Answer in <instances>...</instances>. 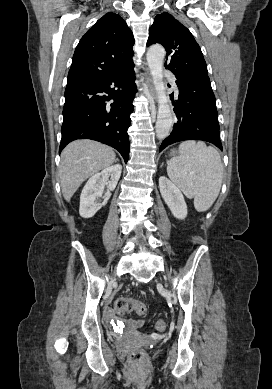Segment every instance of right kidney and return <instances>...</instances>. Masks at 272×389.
I'll return each mask as SVG.
<instances>
[{
	"instance_id": "obj_1",
	"label": "right kidney",
	"mask_w": 272,
	"mask_h": 389,
	"mask_svg": "<svg viewBox=\"0 0 272 389\" xmlns=\"http://www.w3.org/2000/svg\"><path fill=\"white\" fill-rule=\"evenodd\" d=\"M122 166L112 165L100 173L93 175L85 184L80 196L79 213L83 218H91L102 207L98 198L102 196L104 186L107 185L109 191H113L121 176ZM110 177V180H109Z\"/></svg>"
}]
</instances>
